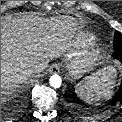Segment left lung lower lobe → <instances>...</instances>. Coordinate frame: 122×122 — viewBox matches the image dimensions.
Here are the masks:
<instances>
[{"label": "left lung lower lobe", "instance_id": "obj_1", "mask_svg": "<svg viewBox=\"0 0 122 122\" xmlns=\"http://www.w3.org/2000/svg\"><path fill=\"white\" fill-rule=\"evenodd\" d=\"M112 56L122 63V50H115ZM119 101H122V83L119 86L117 93L112 99V102H119Z\"/></svg>", "mask_w": 122, "mask_h": 122}]
</instances>
